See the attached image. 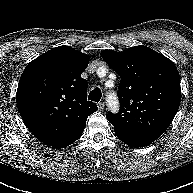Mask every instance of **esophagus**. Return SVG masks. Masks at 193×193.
I'll return each instance as SVG.
<instances>
[{
  "label": "esophagus",
  "instance_id": "1",
  "mask_svg": "<svg viewBox=\"0 0 193 193\" xmlns=\"http://www.w3.org/2000/svg\"><path fill=\"white\" fill-rule=\"evenodd\" d=\"M98 110L99 111H103L104 110V107H105V104H104V102H100V103H98Z\"/></svg>",
  "mask_w": 193,
  "mask_h": 193
}]
</instances>
